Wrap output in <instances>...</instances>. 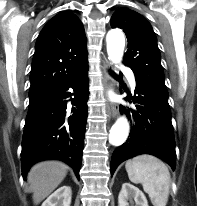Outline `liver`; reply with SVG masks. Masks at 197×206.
Returning <instances> with one entry per match:
<instances>
[{
	"mask_svg": "<svg viewBox=\"0 0 197 206\" xmlns=\"http://www.w3.org/2000/svg\"><path fill=\"white\" fill-rule=\"evenodd\" d=\"M67 165L60 161H43L35 164L29 171L27 181L33 192L34 204H39L63 181Z\"/></svg>",
	"mask_w": 197,
	"mask_h": 206,
	"instance_id": "1",
	"label": "liver"
}]
</instances>
